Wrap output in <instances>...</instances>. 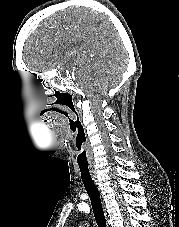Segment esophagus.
Returning <instances> with one entry per match:
<instances>
[{
	"label": "esophagus",
	"mask_w": 179,
	"mask_h": 227,
	"mask_svg": "<svg viewBox=\"0 0 179 227\" xmlns=\"http://www.w3.org/2000/svg\"><path fill=\"white\" fill-rule=\"evenodd\" d=\"M90 173L92 175V178H93L94 182L96 183V185H98L96 171H95V169L92 166H90Z\"/></svg>",
	"instance_id": "1"
}]
</instances>
